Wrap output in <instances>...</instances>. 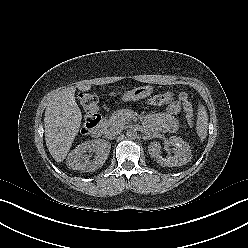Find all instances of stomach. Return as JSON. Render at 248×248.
Returning a JSON list of instances; mask_svg holds the SVG:
<instances>
[{
  "label": "stomach",
  "instance_id": "1",
  "mask_svg": "<svg viewBox=\"0 0 248 248\" xmlns=\"http://www.w3.org/2000/svg\"><path fill=\"white\" fill-rule=\"evenodd\" d=\"M153 92L152 86H141L127 91L122 96V101H136L148 97Z\"/></svg>",
  "mask_w": 248,
  "mask_h": 248
}]
</instances>
